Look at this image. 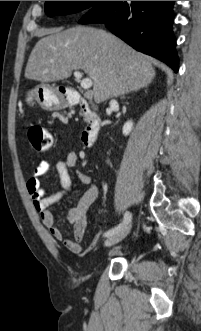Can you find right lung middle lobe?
<instances>
[{"label": "right lung middle lobe", "instance_id": "1", "mask_svg": "<svg viewBox=\"0 0 201 331\" xmlns=\"http://www.w3.org/2000/svg\"><path fill=\"white\" fill-rule=\"evenodd\" d=\"M96 4V1H45L48 16L76 13Z\"/></svg>", "mask_w": 201, "mask_h": 331}]
</instances>
